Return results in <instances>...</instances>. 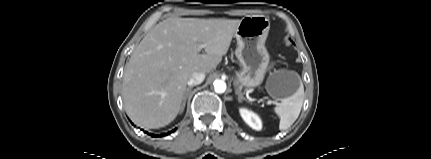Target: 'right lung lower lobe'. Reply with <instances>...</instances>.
<instances>
[{"label": "right lung lower lobe", "mask_w": 431, "mask_h": 159, "mask_svg": "<svg viewBox=\"0 0 431 159\" xmlns=\"http://www.w3.org/2000/svg\"><path fill=\"white\" fill-rule=\"evenodd\" d=\"M176 129H174V130H172V131H170L169 133H167V134H170V133H172V132H174ZM167 134H164V135H167ZM152 137H159V135H154V134H150ZM160 136H162V135H160Z\"/></svg>", "instance_id": "98d812e1"}]
</instances>
